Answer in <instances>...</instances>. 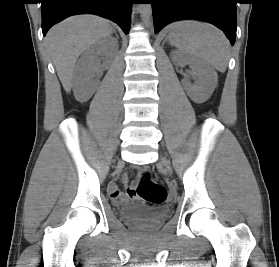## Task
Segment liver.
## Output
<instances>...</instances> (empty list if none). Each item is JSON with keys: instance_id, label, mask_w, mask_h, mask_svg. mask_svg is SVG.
Listing matches in <instances>:
<instances>
[{"instance_id": "1", "label": "liver", "mask_w": 279, "mask_h": 267, "mask_svg": "<svg viewBox=\"0 0 279 267\" xmlns=\"http://www.w3.org/2000/svg\"><path fill=\"white\" fill-rule=\"evenodd\" d=\"M112 31L108 20L95 15L69 17L48 31L46 47L65 91L71 90L75 63L81 53Z\"/></svg>"}]
</instances>
